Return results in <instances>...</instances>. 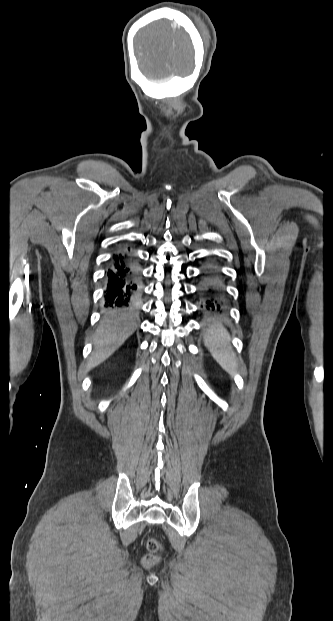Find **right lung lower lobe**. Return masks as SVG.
Returning <instances> with one entry per match:
<instances>
[{
	"label": "right lung lower lobe",
	"mask_w": 333,
	"mask_h": 621,
	"mask_svg": "<svg viewBox=\"0 0 333 621\" xmlns=\"http://www.w3.org/2000/svg\"><path fill=\"white\" fill-rule=\"evenodd\" d=\"M105 307L135 308L141 295V271L125 249L113 255L106 272Z\"/></svg>",
	"instance_id": "98d812e1"
}]
</instances>
